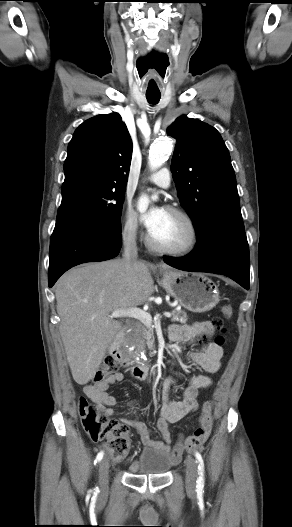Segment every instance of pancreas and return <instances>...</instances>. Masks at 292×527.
<instances>
[{"label": "pancreas", "instance_id": "pancreas-1", "mask_svg": "<svg viewBox=\"0 0 292 527\" xmlns=\"http://www.w3.org/2000/svg\"><path fill=\"white\" fill-rule=\"evenodd\" d=\"M172 313V322L186 323L187 313L185 311L174 309ZM126 342L130 345H134L137 350H143L145 345H148L149 348H152L153 329H151L149 326H146L142 322H136L132 326L131 331L127 334Z\"/></svg>", "mask_w": 292, "mask_h": 527}]
</instances>
